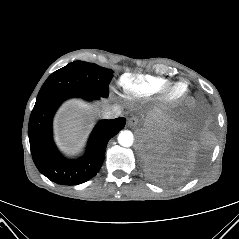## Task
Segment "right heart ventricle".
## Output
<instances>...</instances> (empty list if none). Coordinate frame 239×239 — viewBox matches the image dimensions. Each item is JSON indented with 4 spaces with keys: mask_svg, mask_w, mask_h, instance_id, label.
<instances>
[{
    "mask_svg": "<svg viewBox=\"0 0 239 239\" xmlns=\"http://www.w3.org/2000/svg\"><path fill=\"white\" fill-rule=\"evenodd\" d=\"M119 85L128 97L143 98L160 93L170 82L158 76L125 73L120 77Z\"/></svg>",
    "mask_w": 239,
    "mask_h": 239,
    "instance_id": "1",
    "label": "right heart ventricle"
}]
</instances>
